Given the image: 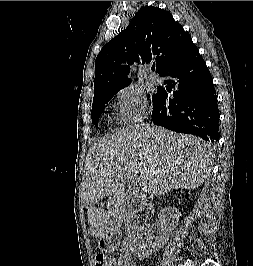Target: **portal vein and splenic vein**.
<instances>
[{
  "label": "portal vein and splenic vein",
  "instance_id": "obj_1",
  "mask_svg": "<svg viewBox=\"0 0 253 266\" xmlns=\"http://www.w3.org/2000/svg\"><path fill=\"white\" fill-rule=\"evenodd\" d=\"M124 180H126V179H124ZM130 181H131L130 187H132L133 189H136L138 187V181L136 179H132V178H130Z\"/></svg>",
  "mask_w": 253,
  "mask_h": 266
}]
</instances>
